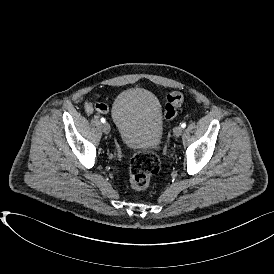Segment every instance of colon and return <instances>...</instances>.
I'll list each match as a JSON object with an SVG mask.
<instances>
[{
	"mask_svg": "<svg viewBox=\"0 0 274 274\" xmlns=\"http://www.w3.org/2000/svg\"><path fill=\"white\" fill-rule=\"evenodd\" d=\"M183 102V95L173 92L167 95L164 116L167 120L173 119ZM159 170V157L150 150H141L135 153L130 162V186L135 191H145L151 185L152 174Z\"/></svg>",
	"mask_w": 274,
	"mask_h": 274,
	"instance_id": "obj_1",
	"label": "colon"
}]
</instances>
